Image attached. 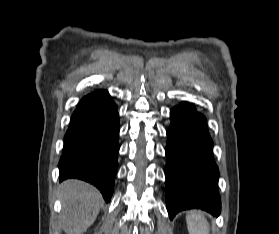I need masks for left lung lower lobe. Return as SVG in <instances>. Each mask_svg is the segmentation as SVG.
<instances>
[{
    "label": "left lung lower lobe",
    "instance_id": "1",
    "mask_svg": "<svg viewBox=\"0 0 279 234\" xmlns=\"http://www.w3.org/2000/svg\"><path fill=\"white\" fill-rule=\"evenodd\" d=\"M165 149L166 206L170 219L181 210L200 208L218 216V167L205 117L183 102L171 112Z\"/></svg>",
    "mask_w": 279,
    "mask_h": 234
}]
</instances>
